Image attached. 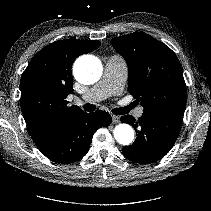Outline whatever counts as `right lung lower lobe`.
I'll use <instances>...</instances> for the list:
<instances>
[{
  "instance_id": "1",
  "label": "right lung lower lobe",
  "mask_w": 211,
  "mask_h": 211,
  "mask_svg": "<svg viewBox=\"0 0 211 211\" xmlns=\"http://www.w3.org/2000/svg\"><path fill=\"white\" fill-rule=\"evenodd\" d=\"M111 121L110 114L102 110L89 114L79 112L68 119L46 143L38 146V149L54 162L73 163L86 155L95 131L109 126Z\"/></svg>"
}]
</instances>
